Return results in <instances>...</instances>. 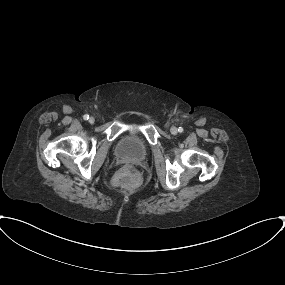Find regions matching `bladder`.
I'll return each mask as SVG.
<instances>
[{
  "label": "bladder",
  "mask_w": 285,
  "mask_h": 285,
  "mask_svg": "<svg viewBox=\"0 0 285 285\" xmlns=\"http://www.w3.org/2000/svg\"><path fill=\"white\" fill-rule=\"evenodd\" d=\"M115 151L117 157L141 160L146 157L148 148L142 136L135 129H130L120 138Z\"/></svg>",
  "instance_id": "31cf9c89"
}]
</instances>
